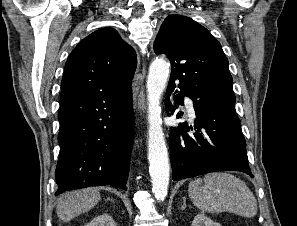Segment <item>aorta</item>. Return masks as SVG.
<instances>
[{"label":"aorta","mask_w":297,"mask_h":226,"mask_svg":"<svg viewBox=\"0 0 297 226\" xmlns=\"http://www.w3.org/2000/svg\"><path fill=\"white\" fill-rule=\"evenodd\" d=\"M170 65L162 58L155 59L149 68L148 98V160L152 192L157 200H164L169 185L168 151L162 131L160 99L169 77Z\"/></svg>","instance_id":"aorta-1"}]
</instances>
